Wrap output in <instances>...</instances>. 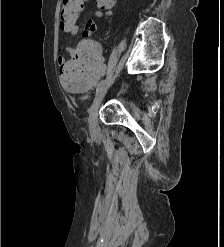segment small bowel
<instances>
[{"instance_id": "c3829d8e", "label": "small bowel", "mask_w": 224, "mask_h": 247, "mask_svg": "<svg viewBox=\"0 0 224 247\" xmlns=\"http://www.w3.org/2000/svg\"><path fill=\"white\" fill-rule=\"evenodd\" d=\"M84 1H87V0H83ZM82 2V3H83ZM95 15L97 17H102L103 16V13L100 11V10H97L95 12ZM97 30V26L95 24V22L93 20H88L87 23H86V27H85V30L83 31L82 33V36L85 39H89L91 38V35L96 32ZM68 33H70L71 35H76L79 31V27L78 25H73L72 27H70L69 29L66 30ZM64 62V58L62 56L59 57V63L60 64H63Z\"/></svg>"}]
</instances>
